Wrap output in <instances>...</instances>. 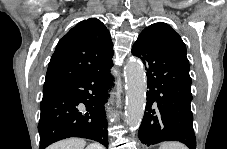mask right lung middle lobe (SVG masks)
<instances>
[{"mask_svg":"<svg viewBox=\"0 0 227 149\" xmlns=\"http://www.w3.org/2000/svg\"><path fill=\"white\" fill-rule=\"evenodd\" d=\"M49 90H43V95L46 94Z\"/></svg>","mask_w":227,"mask_h":149,"instance_id":"1","label":"right lung middle lobe"}]
</instances>
